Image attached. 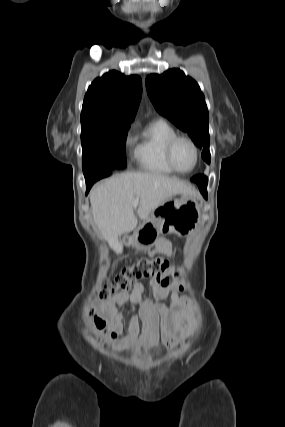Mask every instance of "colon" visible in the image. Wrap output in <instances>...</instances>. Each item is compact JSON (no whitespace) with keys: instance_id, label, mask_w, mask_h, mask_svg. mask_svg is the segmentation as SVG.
<instances>
[{"instance_id":"colon-1","label":"colon","mask_w":285,"mask_h":427,"mask_svg":"<svg viewBox=\"0 0 285 427\" xmlns=\"http://www.w3.org/2000/svg\"><path fill=\"white\" fill-rule=\"evenodd\" d=\"M140 279L155 280L164 288L172 286L182 287L181 273L176 267H171L169 263L161 258H141L136 264L124 268L109 285L100 288L98 294L100 298L107 299L115 292L128 290L135 281ZM92 314V309H89ZM90 324L98 331L108 335L104 321L98 316H92Z\"/></svg>"}]
</instances>
